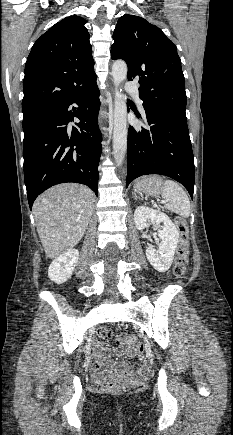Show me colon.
I'll return each instance as SVG.
<instances>
[{
  "instance_id": "obj_1",
  "label": "colon",
  "mask_w": 233,
  "mask_h": 435,
  "mask_svg": "<svg viewBox=\"0 0 233 435\" xmlns=\"http://www.w3.org/2000/svg\"><path fill=\"white\" fill-rule=\"evenodd\" d=\"M174 223L179 231L180 240L176 249L173 272L175 276L183 277L186 273V268L188 264V253H189L188 226L185 219L179 216H176L174 218ZM97 333L98 336L103 340H109L113 335L112 331L106 326L99 327ZM114 340L118 344L132 343V344H136L139 348L141 347L140 344H137L136 341L126 333L117 334ZM123 390H124V385L112 380H105L101 384V391L104 394H116L122 392Z\"/></svg>"
}]
</instances>
